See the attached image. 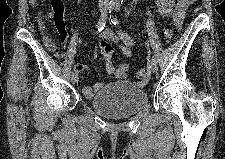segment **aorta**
Listing matches in <instances>:
<instances>
[{"mask_svg": "<svg viewBox=\"0 0 225 159\" xmlns=\"http://www.w3.org/2000/svg\"><path fill=\"white\" fill-rule=\"evenodd\" d=\"M121 0H110L109 6L110 7H119L121 5Z\"/></svg>", "mask_w": 225, "mask_h": 159, "instance_id": "aorta-1", "label": "aorta"}]
</instances>
